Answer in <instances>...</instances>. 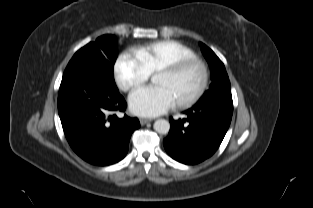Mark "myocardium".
I'll return each mask as SVG.
<instances>
[{"label":"myocardium","instance_id":"myocardium-1","mask_svg":"<svg viewBox=\"0 0 313 208\" xmlns=\"http://www.w3.org/2000/svg\"><path fill=\"white\" fill-rule=\"evenodd\" d=\"M192 66H196L200 70L201 73L200 83L197 89L190 96L175 101L176 106L180 108H186L195 104L205 93L209 82V71L206 63L200 58L189 57L179 59L169 65L161 67L157 71V74L164 73L171 76H175Z\"/></svg>","mask_w":313,"mask_h":208}]
</instances>
